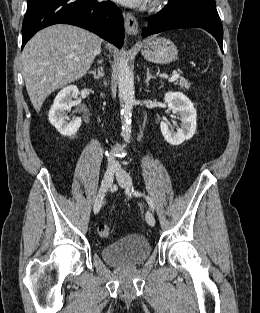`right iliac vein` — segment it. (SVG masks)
I'll use <instances>...</instances> for the list:
<instances>
[{"label":"right iliac vein","instance_id":"63e3f726","mask_svg":"<svg viewBox=\"0 0 260 313\" xmlns=\"http://www.w3.org/2000/svg\"><path fill=\"white\" fill-rule=\"evenodd\" d=\"M113 178H114V170L108 169L106 173L104 174V177L101 182L100 190L94 201L93 211L95 214H97L100 211L105 192L112 185Z\"/></svg>","mask_w":260,"mask_h":313}]
</instances>
